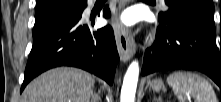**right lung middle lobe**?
Segmentation results:
<instances>
[{"label":"right lung middle lobe","instance_id":"1","mask_svg":"<svg viewBox=\"0 0 221 102\" xmlns=\"http://www.w3.org/2000/svg\"><path fill=\"white\" fill-rule=\"evenodd\" d=\"M82 4L81 0H50L46 5L36 8L33 36L62 19L75 16Z\"/></svg>","mask_w":221,"mask_h":102}]
</instances>
